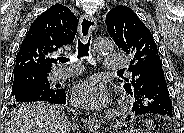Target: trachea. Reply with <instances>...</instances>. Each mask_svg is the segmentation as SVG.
Wrapping results in <instances>:
<instances>
[{"instance_id":"3493384b","label":"trachea","mask_w":184,"mask_h":133,"mask_svg":"<svg viewBox=\"0 0 184 133\" xmlns=\"http://www.w3.org/2000/svg\"><path fill=\"white\" fill-rule=\"evenodd\" d=\"M90 39L87 41L78 40V55L77 59H81L82 57H88L89 56V46H90ZM60 63H67L70 61V58L67 57H60L58 58Z\"/></svg>"}]
</instances>
